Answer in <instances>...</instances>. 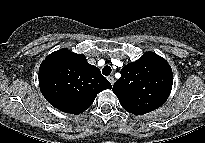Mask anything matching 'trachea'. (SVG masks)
Instances as JSON below:
<instances>
[{
	"instance_id": "trachea-1",
	"label": "trachea",
	"mask_w": 205,
	"mask_h": 143,
	"mask_svg": "<svg viewBox=\"0 0 205 143\" xmlns=\"http://www.w3.org/2000/svg\"><path fill=\"white\" fill-rule=\"evenodd\" d=\"M111 71H112V70H111V67H110V66H104L103 69H102V73H103V75H105V76L110 75Z\"/></svg>"
}]
</instances>
